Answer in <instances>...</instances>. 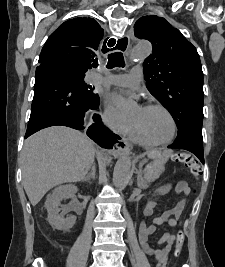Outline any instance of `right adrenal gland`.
<instances>
[{"instance_id": "1", "label": "right adrenal gland", "mask_w": 225, "mask_h": 267, "mask_svg": "<svg viewBox=\"0 0 225 267\" xmlns=\"http://www.w3.org/2000/svg\"><path fill=\"white\" fill-rule=\"evenodd\" d=\"M96 175V166L93 164L91 172L85 177L84 182H90L91 179H95Z\"/></svg>"}]
</instances>
